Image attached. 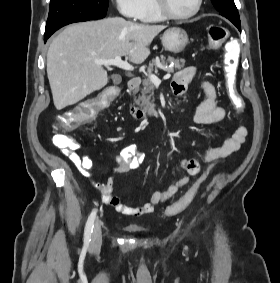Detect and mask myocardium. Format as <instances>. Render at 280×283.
<instances>
[{
	"instance_id": "1",
	"label": "myocardium",
	"mask_w": 280,
	"mask_h": 283,
	"mask_svg": "<svg viewBox=\"0 0 280 283\" xmlns=\"http://www.w3.org/2000/svg\"><path fill=\"white\" fill-rule=\"evenodd\" d=\"M153 3L156 11L163 19L180 21L190 19L197 15L201 10L203 0H196L195 8L191 12L182 15L171 12L170 9L167 7L165 0H153Z\"/></svg>"
}]
</instances>
